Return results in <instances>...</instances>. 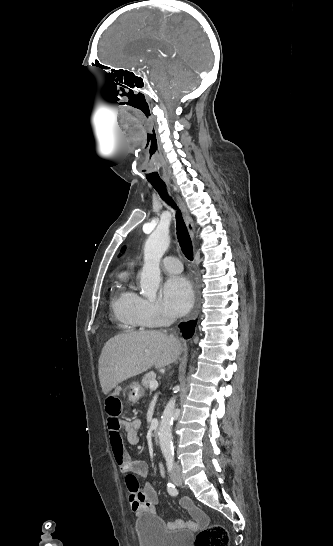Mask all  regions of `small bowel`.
Instances as JSON below:
<instances>
[{
    "mask_svg": "<svg viewBox=\"0 0 333 546\" xmlns=\"http://www.w3.org/2000/svg\"><path fill=\"white\" fill-rule=\"evenodd\" d=\"M115 393H121L122 387L115 386L112 389ZM107 426L110 436L111 450L120 471L126 476V485L128 488L129 505L135 513L141 512H156V506L159 503L158 494L151 483L145 484L143 489L140 488L137 476L143 477L148 473V464L142 460H132L123 446L121 437V429H124L127 434V440L130 444L136 445L140 441L139 430L141 422L137 419L123 420L120 418H108ZM181 505L191 514L196 525H203L206 522L205 514L197 508L193 502L184 498L181 500ZM173 527L184 525L181 520L171 522Z\"/></svg>",
    "mask_w": 333,
    "mask_h": 546,
    "instance_id": "1",
    "label": "small bowel"
}]
</instances>
